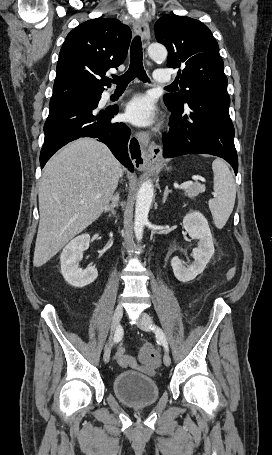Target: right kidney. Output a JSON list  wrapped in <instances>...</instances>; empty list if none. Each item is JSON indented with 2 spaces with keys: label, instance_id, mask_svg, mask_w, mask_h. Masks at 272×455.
Listing matches in <instances>:
<instances>
[{
  "label": "right kidney",
  "instance_id": "obj_1",
  "mask_svg": "<svg viewBox=\"0 0 272 455\" xmlns=\"http://www.w3.org/2000/svg\"><path fill=\"white\" fill-rule=\"evenodd\" d=\"M89 243V234H82L71 240L61 253V273L71 286L82 288L94 282L98 276L95 266H89L84 270L79 268V261Z\"/></svg>",
  "mask_w": 272,
  "mask_h": 455
}]
</instances>
